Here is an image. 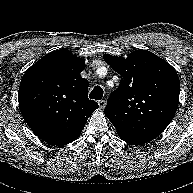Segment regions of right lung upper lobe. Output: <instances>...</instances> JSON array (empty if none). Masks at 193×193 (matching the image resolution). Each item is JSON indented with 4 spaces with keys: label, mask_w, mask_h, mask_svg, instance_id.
Returning a JSON list of instances; mask_svg holds the SVG:
<instances>
[{
    "label": "right lung upper lobe",
    "mask_w": 193,
    "mask_h": 193,
    "mask_svg": "<svg viewBox=\"0 0 193 193\" xmlns=\"http://www.w3.org/2000/svg\"><path fill=\"white\" fill-rule=\"evenodd\" d=\"M84 68V60L64 48L46 54L23 75L19 108L43 141L53 145L74 141L99 108L87 97L88 81L80 76Z\"/></svg>",
    "instance_id": "right-lung-upper-lobe-1"
}]
</instances>
